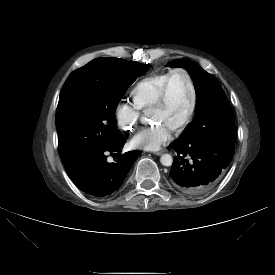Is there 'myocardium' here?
I'll return each instance as SVG.
<instances>
[{
  "mask_svg": "<svg viewBox=\"0 0 275 275\" xmlns=\"http://www.w3.org/2000/svg\"><path fill=\"white\" fill-rule=\"evenodd\" d=\"M175 74H182L186 77L189 88H190V93H191V101H190V106H189V110L187 112V115L174 128V130L180 131V130L184 129L185 127H187L191 123V121L194 117L195 111H196V107H197V90H196V86H195V83H194V80H193L191 74L186 69L175 68V69H172L169 72V74H168V76H167V78H166V80H165V82H164V84H163V86H162V88L159 92V95H158L155 103L152 106V109L163 107L167 103L170 83H171V80H172V78Z\"/></svg>",
  "mask_w": 275,
  "mask_h": 275,
  "instance_id": "f54148a6",
  "label": "myocardium"
}]
</instances>
